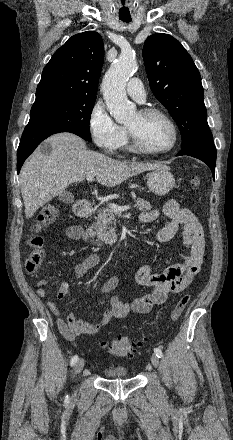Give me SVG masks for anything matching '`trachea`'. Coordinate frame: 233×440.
I'll return each mask as SVG.
<instances>
[{
  "label": "trachea",
  "mask_w": 233,
  "mask_h": 440,
  "mask_svg": "<svg viewBox=\"0 0 233 440\" xmlns=\"http://www.w3.org/2000/svg\"><path fill=\"white\" fill-rule=\"evenodd\" d=\"M121 20L125 23H129L131 21V19H121Z\"/></svg>",
  "instance_id": "obj_1"
}]
</instances>
